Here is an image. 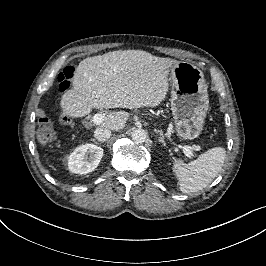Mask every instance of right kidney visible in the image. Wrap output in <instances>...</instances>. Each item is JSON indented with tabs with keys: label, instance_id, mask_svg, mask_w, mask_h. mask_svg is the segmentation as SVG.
Instances as JSON below:
<instances>
[{
	"label": "right kidney",
	"instance_id": "ca27d5eb",
	"mask_svg": "<svg viewBox=\"0 0 266 266\" xmlns=\"http://www.w3.org/2000/svg\"><path fill=\"white\" fill-rule=\"evenodd\" d=\"M69 156L73 160L74 173L87 174L98 166L103 149L95 144H84L76 147Z\"/></svg>",
	"mask_w": 266,
	"mask_h": 266
}]
</instances>
